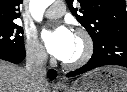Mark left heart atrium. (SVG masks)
I'll return each mask as SVG.
<instances>
[{
    "label": "left heart atrium",
    "instance_id": "1",
    "mask_svg": "<svg viewBox=\"0 0 127 92\" xmlns=\"http://www.w3.org/2000/svg\"><path fill=\"white\" fill-rule=\"evenodd\" d=\"M74 36L73 32L66 26L46 30L42 33V39L47 51L60 60H65L69 55Z\"/></svg>",
    "mask_w": 127,
    "mask_h": 92
}]
</instances>
